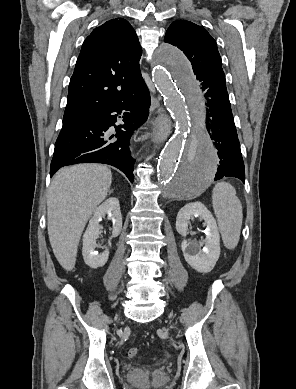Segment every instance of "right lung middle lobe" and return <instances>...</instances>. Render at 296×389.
Masks as SVG:
<instances>
[{
  "label": "right lung middle lobe",
  "instance_id": "obj_1",
  "mask_svg": "<svg viewBox=\"0 0 296 389\" xmlns=\"http://www.w3.org/2000/svg\"><path fill=\"white\" fill-rule=\"evenodd\" d=\"M78 120L80 119H73V120H63V127H68L70 125H72L73 123L77 122Z\"/></svg>",
  "mask_w": 296,
  "mask_h": 389
}]
</instances>
